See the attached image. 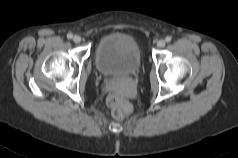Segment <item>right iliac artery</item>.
<instances>
[{
	"label": "right iliac artery",
	"instance_id": "obj_1",
	"mask_svg": "<svg viewBox=\"0 0 238 158\" xmlns=\"http://www.w3.org/2000/svg\"><path fill=\"white\" fill-rule=\"evenodd\" d=\"M72 37H73V34H72V33H68V34H67V38H68V39H71Z\"/></svg>",
	"mask_w": 238,
	"mask_h": 158
}]
</instances>
